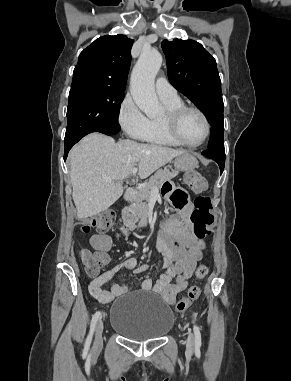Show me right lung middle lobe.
Segmentation results:
<instances>
[{
    "mask_svg": "<svg viewBox=\"0 0 291 381\" xmlns=\"http://www.w3.org/2000/svg\"><path fill=\"white\" fill-rule=\"evenodd\" d=\"M124 90L95 86L71 87L64 142L78 141L96 130L119 126L118 114Z\"/></svg>",
    "mask_w": 291,
    "mask_h": 381,
    "instance_id": "1",
    "label": "right lung middle lobe"
}]
</instances>
